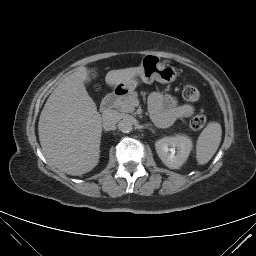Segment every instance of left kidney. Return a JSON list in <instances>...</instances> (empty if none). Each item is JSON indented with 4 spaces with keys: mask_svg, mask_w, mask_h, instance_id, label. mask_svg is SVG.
Wrapping results in <instances>:
<instances>
[{
    "mask_svg": "<svg viewBox=\"0 0 256 256\" xmlns=\"http://www.w3.org/2000/svg\"><path fill=\"white\" fill-rule=\"evenodd\" d=\"M155 149L168 168L178 169L187 160L192 149V141L185 135L164 137L155 143Z\"/></svg>",
    "mask_w": 256,
    "mask_h": 256,
    "instance_id": "obj_1",
    "label": "left kidney"
}]
</instances>
